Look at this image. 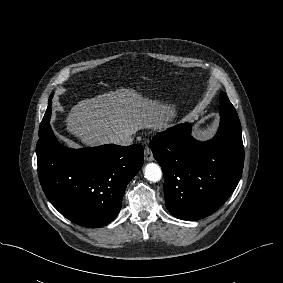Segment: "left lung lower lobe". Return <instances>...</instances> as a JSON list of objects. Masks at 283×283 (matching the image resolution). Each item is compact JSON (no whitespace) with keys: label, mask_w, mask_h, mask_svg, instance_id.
<instances>
[{"label":"left lung lower lobe","mask_w":283,"mask_h":283,"mask_svg":"<svg viewBox=\"0 0 283 283\" xmlns=\"http://www.w3.org/2000/svg\"><path fill=\"white\" fill-rule=\"evenodd\" d=\"M219 109L220 126L212 140H195L189 123L157 133L151 140L154 158L164 174L166 207L179 219L209 216L225 203L241 178V124L233 105Z\"/></svg>","instance_id":"1"}]
</instances>
